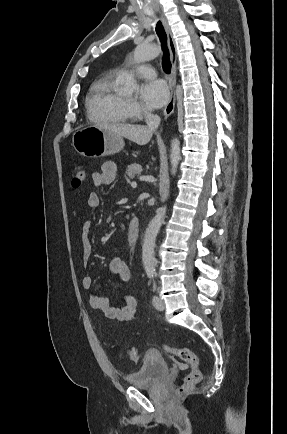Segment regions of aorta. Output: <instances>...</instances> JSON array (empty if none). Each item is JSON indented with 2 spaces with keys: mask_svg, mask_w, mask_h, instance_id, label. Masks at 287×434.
I'll list each match as a JSON object with an SVG mask.
<instances>
[{
  "mask_svg": "<svg viewBox=\"0 0 287 434\" xmlns=\"http://www.w3.org/2000/svg\"><path fill=\"white\" fill-rule=\"evenodd\" d=\"M160 54V48L157 45L151 44H139L133 52V62L142 63L152 60ZM137 88V82L133 75H128L124 80V91L126 93H132ZM181 159L180 153V141L178 138H174L171 141L170 151V163L171 174L175 175L177 172L178 164ZM167 207L166 205L160 207L156 216L151 220L146 229L144 236V242L142 246V262L144 269L147 273L153 274L155 271L156 260L154 257V247L156 236L164 221Z\"/></svg>",
  "mask_w": 287,
  "mask_h": 434,
  "instance_id": "1",
  "label": "aorta"
}]
</instances>
